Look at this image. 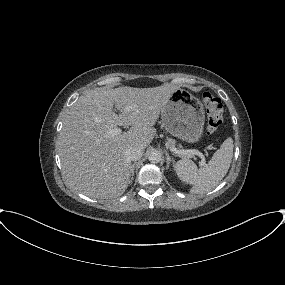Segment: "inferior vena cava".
<instances>
[{"mask_svg":"<svg viewBox=\"0 0 285 285\" xmlns=\"http://www.w3.org/2000/svg\"><path fill=\"white\" fill-rule=\"evenodd\" d=\"M126 155L130 161H136L142 157L143 150L140 147H131L126 151Z\"/></svg>","mask_w":285,"mask_h":285,"instance_id":"1","label":"inferior vena cava"}]
</instances>
